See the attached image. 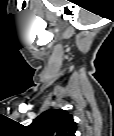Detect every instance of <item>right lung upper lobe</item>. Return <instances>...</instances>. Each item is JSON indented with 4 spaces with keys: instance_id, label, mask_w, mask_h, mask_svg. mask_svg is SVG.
I'll use <instances>...</instances> for the list:
<instances>
[{
    "instance_id": "1",
    "label": "right lung upper lobe",
    "mask_w": 114,
    "mask_h": 136,
    "mask_svg": "<svg viewBox=\"0 0 114 136\" xmlns=\"http://www.w3.org/2000/svg\"><path fill=\"white\" fill-rule=\"evenodd\" d=\"M35 136H75L73 116L62 109H50L39 115L29 126Z\"/></svg>"
}]
</instances>
